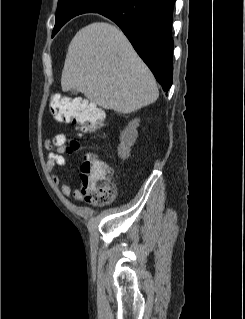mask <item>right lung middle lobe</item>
Segmentation results:
<instances>
[{"mask_svg":"<svg viewBox=\"0 0 245 319\" xmlns=\"http://www.w3.org/2000/svg\"><path fill=\"white\" fill-rule=\"evenodd\" d=\"M122 1L124 0H83L81 6L84 10H88L92 12H100L108 8L114 7L117 4L121 3ZM67 3H68L67 1L58 2L53 35L56 34L61 28V26H57V22H59L61 19H63L67 15L65 10Z\"/></svg>","mask_w":245,"mask_h":319,"instance_id":"dd1d6c3e","label":"right lung middle lobe"}]
</instances>
